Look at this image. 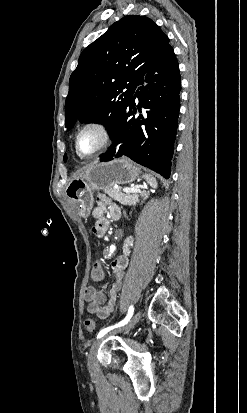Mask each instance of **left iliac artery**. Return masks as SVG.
<instances>
[{
  "instance_id": "left-iliac-artery-1",
  "label": "left iliac artery",
  "mask_w": 247,
  "mask_h": 413,
  "mask_svg": "<svg viewBox=\"0 0 247 413\" xmlns=\"http://www.w3.org/2000/svg\"><path fill=\"white\" fill-rule=\"evenodd\" d=\"M133 313H134V307H133V305H131L128 309L127 316L122 321H120L119 323L101 330L97 335V339L103 337L105 334H107L109 331L113 330L114 328H118V327H121V326H124L125 324H127V322L131 319Z\"/></svg>"
}]
</instances>
